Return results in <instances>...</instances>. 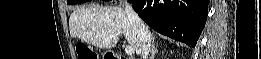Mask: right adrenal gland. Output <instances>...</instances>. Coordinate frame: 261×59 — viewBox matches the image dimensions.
<instances>
[{
    "label": "right adrenal gland",
    "mask_w": 261,
    "mask_h": 59,
    "mask_svg": "<svg viewBox=\"0 0 261 59\" xmlns=\"http://www.w3.org/2000/svg\"><path fill=\"white\" fill-rule=\"evenodd\" d=\"M155 38L152 40V45H151V59H154V56L156 53H158L157 48L155 47Z\"/></svg>",
    "instance_id": "obj_1"
}]
</instances>
